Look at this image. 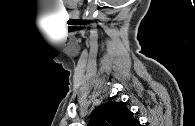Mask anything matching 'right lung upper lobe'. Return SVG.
Masks as SVG:
<instances>
[{
	"mask_svg": "<svg viewBox=\"0 0 195 126\" xmlns=\"http://www.w3.org/2000/svg\"><path fill=\"white\" fill-rule=\"evenodd\" d=\"M88 126H140L124 102H107L92 112Z\"/></svg>",
	"mask_w": 195,
	"mask_h": 126,
	"instance_id": "obj_1",
	"label": "right lung upper lobe"
}]
</instances>
